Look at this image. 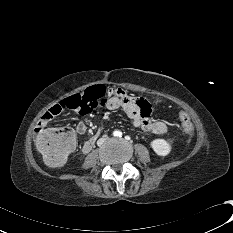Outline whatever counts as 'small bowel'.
Wrapping results in <instances>:
<instances>
[{
    "label": "small bowel",
    "mask_w": 233,
    "mask_h": 233,
    "mask_svg": "<svg viewBox=\"0 0 233 233\" xmlns=\"http://www.w3.org/2000/svg\"><path fill=\"white\" fill-rule=\"evenodd\" d=\"M99 107L108 110H121L131 120L134 126L143 129L150 135L159 137L167 132V125L160 120H152L154 107L142 97H136L122 88L112 86L98 102ZM65 109L63 102L51 106L43 113L37 123L36 130L45 129L47 124ZM82 115L88 112H80ZM87 130L85 123L80 122L76 127L78 134H84ZM98 135L89 138L83 145V153H88L95 145Z\"/></svg>",
    "instance_id": "obj_1"
}]
</instances>
